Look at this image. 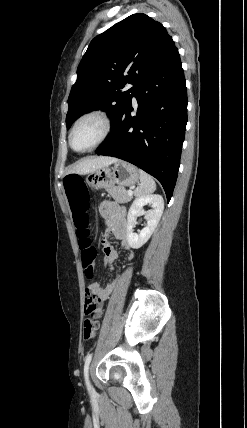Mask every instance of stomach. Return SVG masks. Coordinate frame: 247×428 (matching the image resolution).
<instances>
[{
    "mask_svg": "<svg viewBox=\"0 0 247 428\" xmlns=\"http://www.w3.org/2000/svg\"><path fill=\"white\" fill-rule=\"evenodd\" d=\"M139 179L138 169L128 162L118 160L113 166L99 168L86 177L88 185L94 189H108L115 184L119 186L134 185Z\"/></svg>",
    "mask_w": 247,
    "mask_h": 428,
    "instance_id": "obj_1",
    "label": "stomach"
}]
</instances>
